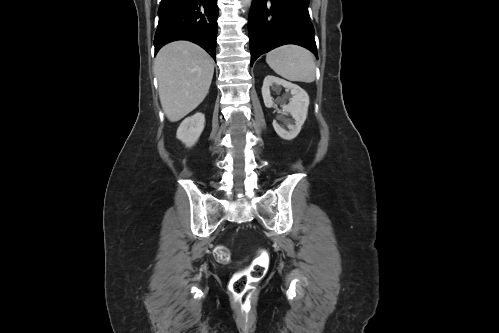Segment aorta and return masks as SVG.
<instances>
[{
  "instance_id": "762f6f07",
  "label": "aorta",
  "mask_w": 499,
  "mask_h": 333,
  "mask_svg": "<svg viewBox=\"0 0 499 333\" xmlns=\"http://www.w3.org/2000/svg\"><path fill=\"white\" fill-rule=\"evenodd\" d=\"M243 2L245 4V6L247 7L251 4L252 0H243Z\"/></svg>"
}]
</instances>
